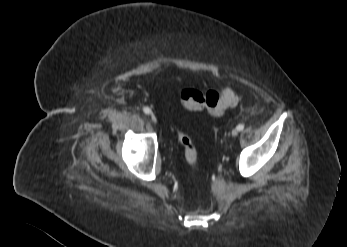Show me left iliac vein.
<instances>
[{"label":"left iliac vein","instance_id":"obj_1","mask_svg":"<svg viewBox=\"0 0 347 247\" xmlns=\"http://www.w3.org/2000/svg\"><path fill=\"white\" fill-rule=\"evenodd\" d=\"M233 137H236L238 135V130L237 129H233L231 132Z\"/></svg>","mask_w":347,"mask_h":247}]
</instances>
